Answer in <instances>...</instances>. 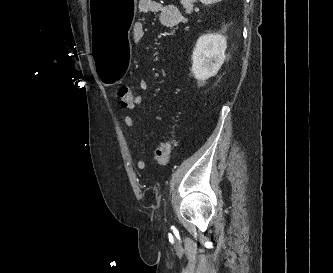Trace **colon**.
Here are the masks:
<instances>
[{
	"label": "colon",
	"mask_w": 333,
	"mask_h": 273,
	"mask_svg": "<svg viewBox=\"0 0 333 273\" xmlns=\"http://www.w3.org/2000/svg\"><path fill=\"white\" fill-rule=\"evenodd\" d=\"M118 96L121 106L125 109L138 106L136 95H134L128 87H120L118 90ZM173 148L174 142L172 140L160 143L154 151L155 161L159 165H166L170 160Z\"/></svg>",
	"instance_id": "colon-1"
}]
</instances>
